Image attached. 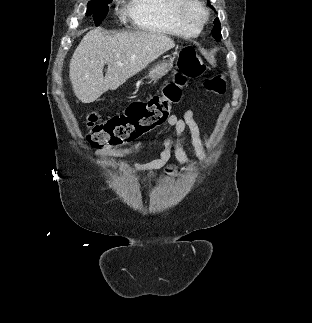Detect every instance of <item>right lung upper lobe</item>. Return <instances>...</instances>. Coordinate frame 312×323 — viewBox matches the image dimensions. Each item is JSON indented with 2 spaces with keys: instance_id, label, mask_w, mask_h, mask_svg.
Segmentation results:
<instances>
[{
  "instance_id": "obj_1",
  "label": "right lung upper lobe",
  "mask_w": 312,
  "mask_h": 323,
  "mask_svg": "<svg viewBox=\"0 0 312 323\" xmlns=\"http://www.w3.org/2000/svg\"><path fill=\"white\" fill-rule=\"evenodd\" d=\"M96 1L105 2V1H108V0H96Z\"/></svg>"
}]
</instances>
